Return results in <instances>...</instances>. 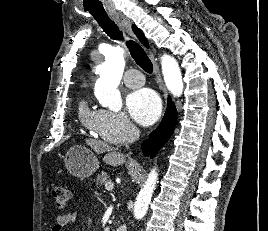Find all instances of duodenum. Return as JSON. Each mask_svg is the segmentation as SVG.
<instances>
[{"label": "duodenum", "instance_id": "obj_1", "mask_svg": "<svg viewBox=\"0 0 268 231\" xmlns=\"http://www.w3.org/2000/svg\"><path fill=\"white\" fill-rule=\"evenodd\" d=\"M115 231H127V227L126 225L122 224Z\"/></svg>", "mask_w": 268, "mask_h": 231}]
</instances>
